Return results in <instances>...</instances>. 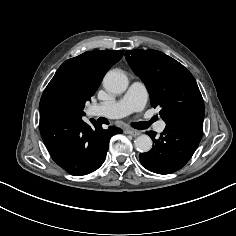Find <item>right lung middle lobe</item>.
Returning <instances> with one entry per match:
<instances>
[{
  "instance_id": "dd1d6c3e",
  "label": "right lung middle lobe",
  "mask_w": 236,
  "mask_h": 236,
  "mask_svg": "<svg viewBox=\"0 0 236 236\" xmlns=\"http://www.w3.org/2000/svg\"><path fill=\"white\" fill-rule=\"evenodd\" d=\"M86 101L84 96L75 91L59 90L50 96L49 108H56L65 114L81 118Z\"/></svg>"
}]
</instances>
